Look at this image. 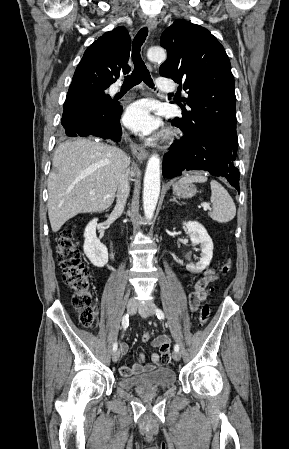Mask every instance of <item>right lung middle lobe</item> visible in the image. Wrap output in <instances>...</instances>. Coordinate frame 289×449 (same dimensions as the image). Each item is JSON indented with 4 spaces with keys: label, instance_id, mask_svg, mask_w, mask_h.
Returning <instances> with one entry per match:
<instances>
[{
    "label": "right lung middle lobe",
    "instance_id": "obj_1",
    "mask_svg": "<svg viewBox=\"0 0 289 449\" xmlns=\"http://www.w3.org/2000/svg\"><path fill=\"white\" fill-rule=\"evenodd\" d=\"M104 90L105 89H102L98 94V98H97L96 105H95L96 109H99V110L103 109L111 103L112 99L110 98L109 95L104 93ZM96 109L94 111H96Z\"/></svg>",
    "mask_w": 289,
    "mask_h": 449
}]
</instances>
